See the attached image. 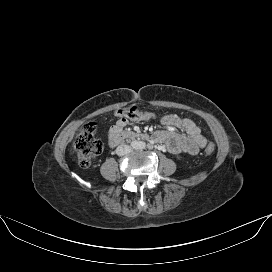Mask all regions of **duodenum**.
Instances as JSON below:
<instances>
[{
    "instance_id": "obj_1",
    "label": "duodenum",
    "mask_w": 272,
    "mask_h": 272,
    "mask_svg": "<svg viewBox=\"0 0 272 272\" xmlns=\"http://www.w3.org/2000/svg\"><path fill=\"white\" fill-rule=\"evenodd\" d=\"M140 138L147 139L148 136L135 131H118L112 138H110L109 143L111 146H116L124 141H132Z\"/></svg>"
}]
</instances>
